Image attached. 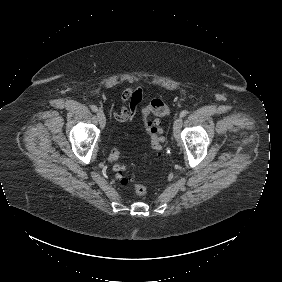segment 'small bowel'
Segmentation results:
<instances>
[{"mask_svg": "<svg viewBox=\"0 0 282 282\" xmlns=\"http://www.w3.org/2000/svg\"><path fill=\"white\" fill-rule=\"evenodd\" d=\"M143 88L138 87H126L120 97V108L118 110L112 108V114L116 121L127 122L132 121L142 102Z\"/></svg>", "mask_w": 282, "mask_h": 282, "instance_id": "1", "label": "small bowel"}]
</instances>
